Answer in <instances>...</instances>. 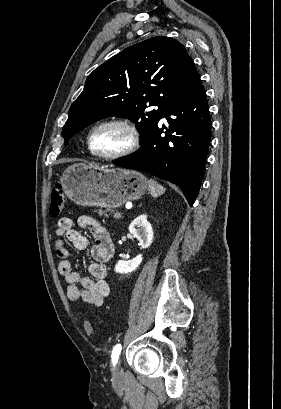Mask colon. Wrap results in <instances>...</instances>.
<instances>
[{
  "label": "colon",
  "mask_w": 281,
  "mask_h": 409,
  "mask_svg": "<svg viewBox=\"0 0 281 409\" xmlns=\"http://www.w3.org/2000/svg\"><path fill=\"white\" fill-rule=\"evenodd\" d=\"M64 195H63V189L61 185L56 184L52 188V202L50 205V212L52 213L53 216L59 215L63 209H64ZM85 328L88 329L87 333L90 335H93L95 333V330L92 328V323L91 322H86L85 323Z\"/></svg>",
  "instance_id": "1"
}]
</instances>
